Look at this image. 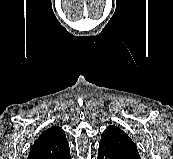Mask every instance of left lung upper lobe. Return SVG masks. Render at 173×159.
<instances>
[{
  "instance_id": "left-lung-upper-lobe-1",
  "label": "left lung upper lobe",
  "mask_w": 173,
  "mask_h": 159,
  "mask_svg": "<svg viewBox=\"0 0 173 159\" xmlns=\"http://www.w3.org/2000/svg\"><path fill=\"white\" fill-rule=\"evenodd\" d=\"M100 144L105 145L122 155L133 159H140L134 142L124 131L115 125L108 126L102 133Z\"/></svg>"
}]
</instances>
